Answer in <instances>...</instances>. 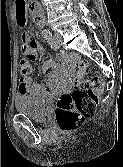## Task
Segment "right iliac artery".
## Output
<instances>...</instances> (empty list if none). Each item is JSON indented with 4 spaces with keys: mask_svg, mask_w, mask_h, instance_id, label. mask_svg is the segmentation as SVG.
Returning <instances> with one entry per match:
<instances>
[{
    "mask_svg": "<svg viewBox=\"0 0 123 167\" xmlns=\"http://www.w3.org/2000/svg\"><path fill=\"white\" fill-rule=\"evenodd\" d=\"M47 34H49V30H45L44 32H42L43 37L46 36Z\"/></svg>",
    "mask_w": 123,
    "mask_h": 167,
    "instance_id": "obj_1",
    "label": "right iliac artery"
}]
</instances>
